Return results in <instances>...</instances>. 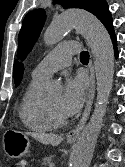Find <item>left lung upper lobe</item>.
I'll use <instances>...</instances> for the list:
<instances>
[{
	"label": "left lung upper lobe",
	"mask_w": 125,
	"mask_h": 167,
	"mask_svg": "<svg viewBox=\"0 0 125 167\" xmlns=\"http://www.w3.org/2000/svg\"><path fill=\"white\" fill-rule=\"evenodd\" d=\"M64 8H81L94 14L106 27L112 23L111 13L105 0H57ZM45 12L36 9L29 12L22 23L18 36V57L22 60L30 52L45 21Z\"/></svg>",
	"instance_id": "5c2ea615"
}]
</instances>
